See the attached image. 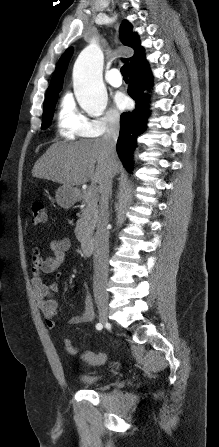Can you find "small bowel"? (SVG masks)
<instances>
[{
    "mask_svg": "<svg viewBox=\"0 0 219 447\" xmlns=\"http://www.w3.org/2000/svg\"><path fill=\"white\" fill-rule=\"evenodd\" d=\"M70 242L66 238L56 239L50 244V254L42 256L39 250H36L33 264L31 267L32 273V289L34 298L44 316L45 324L49 329L57 327L55 320L58 314V302L55 297L58 292V281L62 277L63 272L59 270L65 255L69 252ZM55 275V280L47 281L46 276ZM86 288V286H85ZM95 318V309L93 301L89 294L85 296L83 303V311L72 317L70 324L90 323Z\"/></svg>",
    "mask_w": 219,
    "mask_h": 447,
    "instance_id": "obj_1",
    "label": "small bowel"
}]
</instances>
